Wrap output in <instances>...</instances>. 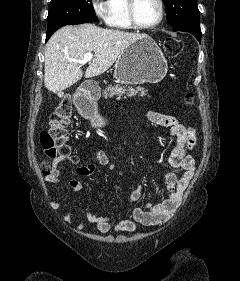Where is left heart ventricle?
Here are the masks:
<instances>
[{
	"instance_id": "left-heart-ventricle-1",
	"label": "left heart ventricle",
	"mask_w": 240,
	"mask_h": 281,
	"mask_svg": "<svg viewBox=\"0 0 240 281\" xmlns=\"http://www.w3.org/2000/svg\"><path fill=\"white\" fill-rule=\"evenodd\" d=\"M136 15L141 24H153L159 17L157 0H137Z\"/></svg>"
}]
</instances>
